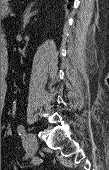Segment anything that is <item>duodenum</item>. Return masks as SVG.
Segmentation results:
<instances>
[{"label":"duodenum","mask_w":109,"mask_h":170,"mask_svg":"<svg viewBox=\"0 0 109 170\" xmlns=\"http://www.w3.org/2000/svg\"><path fill=\"white\" fill-rule=\"evenodd\" d=\"M1 49H2L3 52H5L6 49H7V48H6V41H5V40L2 41ZM2 60H3V63L6 64L7 61H8L7 55H4Z\"/></svg>","instance_id":"obj_1"}]
</instances>
